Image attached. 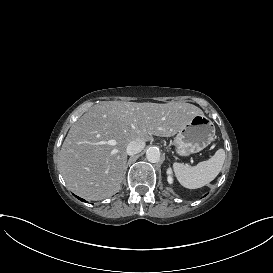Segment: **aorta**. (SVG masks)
Returning a JSON list of instances; mask_svg holds the SVG:
<instances>
[{
    "mask_svg": "<svg viewBox=\"0 0 273 273\" xmlns=\"http://www.w3.org/2000/svg\"><path fill=\"white\" fill-rule=\"evenodd\" d=\"M160 155V150L157 147H149L146 151V158L151 163L159 162Z\"/></svg>",
    "mask_w": 273,
    "mask_h": 273,
    "instance_id": "1",
    "label": "aorta"
}]
</instances>
